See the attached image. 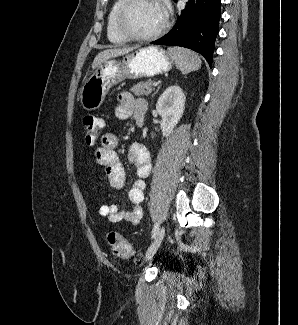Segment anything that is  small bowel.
I'll return each instance as SVG.
<instances>
[{
  "label": "small bowel",
  "instance_id": "1",
  "mask_svg": "<svg viewBox=\"0 0 298 325\" xmlns=\"http://www.w3.org/2000/svg\"><path fill=\"white\" fill-rule=\"evenodd\" d=\"M119 104L116 107V115L120 119L129 118L136 105L144 100L135 99L131 93L123 92L118 97ZM118 137L113 133H105L101 137V146L95 152L97 164L105 169V174L113 188L120 189L125 182V172L119 160L116 148ZM128 161L136 171L137 179L134 180L128 191V198L132 204L129 211H122L118 204H104L99 208V214L107 217L109 221L116 223L124 221L135 225L143 215L142 201L144 199L145 179L151 172V161L148 150L141 144L134 143L128 150ZM100 178V176H98ZM98 188V186H97Z\"/></svg>",
  "mask_w": 298,
  "mask_h": 325
}]
</instances>
